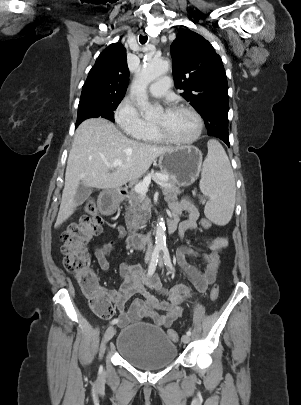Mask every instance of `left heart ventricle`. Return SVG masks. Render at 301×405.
<instances>
[{"instance_id":"obj_1","label":"left heart ventricle","mask_w":301,"mask_h":405,"mask_svg":"<svg viewBox=\"0 0 301 405\" xmlns=\"http://www.w3.org/2000/svg\"><path fill=\"white\" fill-rule=\"evenodd\" d=\"M153 123L160 125L170 135L180 139L193 136L197 127L196 120L190 113L176 109L160 111Z\"/></svg>"}]
</instances>
